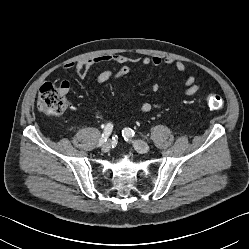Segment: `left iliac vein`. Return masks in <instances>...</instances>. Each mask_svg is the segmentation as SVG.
<instances>
[{
  "label": "left iliac vein",
  "instance_id": "obj_1",
  "mask_svg": "<svg viewBox=\"0 0 249 249\" xmlns=\"http://www.w3.org/2000/svg\"><path fill=\"white\" fill-rule=\"evenodd\" d=\"M133 146L139 153H148L150 150L149 145L141 140H135Z\"/></svg>",
  "mask_w": 249,
  "mask_h": 249
}]
</instances>
